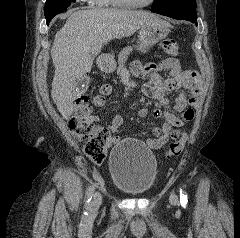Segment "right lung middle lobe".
Here are the masks:
<instances>
[{
    "mask_svg": "<svg viewBox=\"0 0 240 238\" xmlns=\"http://www.w3.org/2000/svg\"><path fill=\"white\" fill-rule=\"evenodd\" d=\"M71 2H75V0H46L45 3L46 23L49 24V22L55 15L66 10L68 6L71 4Z\"/></svg>",
    "mask_w": 240,
    "mask_h": 238,
    "instance_id": "dd1d6c3e",
    "label": "right lung middle lobe"
}]
</instances>
